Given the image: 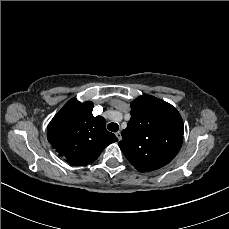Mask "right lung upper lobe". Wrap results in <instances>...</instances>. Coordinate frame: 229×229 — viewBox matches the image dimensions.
<instances>
[{
    "mask_svg": "<svg viewBox=\"0 0 229 229\" xmlns=\"http://www.w3.org/2000/svg\"><path fill=\"white\" fill-rule=\"evenodd\" d=\"M93 103L73 98L48 125L47 138L66 162L85 166L96 160L109 144L118 141L106 130L103 117L92 115Z\"/></svg>",
    "mask_w": 229,
    "mask_h": 229,
    "instance_id": "1",
    "label": "right lung upper lobe"
}]
</instances>
